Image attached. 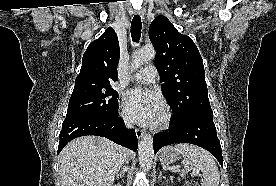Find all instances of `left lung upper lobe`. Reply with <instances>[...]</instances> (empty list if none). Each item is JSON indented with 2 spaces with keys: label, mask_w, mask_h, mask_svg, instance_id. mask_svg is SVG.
<instances>
[{
  "label": "left lung upper lobe",
  "mask_w": 276,
  "mask_h": 186,
  "mask_svg": "<svg viewBox=\"0 0 276 186\" xmlns=\"http://www.w3.org/2000/svg\"><path fill=\"white\" fill-rule=\"evenodd\" d=\"M149 37L161 90L174 114L171 120L211 113L203 60L193 40L161 15L151 23Z\"/></svg>",
  "instance_id": "obj_1"
}]
</instances>
